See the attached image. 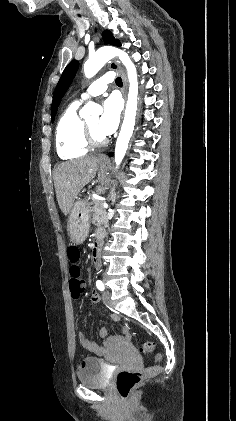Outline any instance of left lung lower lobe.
<instances>
[{"label":"left lung lower lobe","mask_w":236,"mask_h":421,"mask_svg":"<svg viewBox=\"0 0 236 421\" xmlns=\"http://www.w3.org/2000/svg\"><path fill=\"white\" fill-rule=\"evenodd\" d=\"M109 156L112 157L113 156V153H110Z\"/></svg>","instance_id":"0a47b994"}]
</instances>
